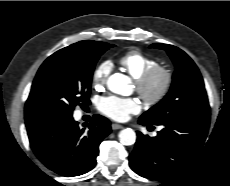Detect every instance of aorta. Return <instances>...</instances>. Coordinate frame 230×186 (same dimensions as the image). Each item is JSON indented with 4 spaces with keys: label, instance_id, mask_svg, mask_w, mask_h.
<instances>
[{
    "label": "aorta",
    "instance_id": "aorta-1",
    "mask_svg": "<svg viewBox=\"0 0 230 186\" xmlns=\"http://www.w3.org/2000/svg\"><path fill=\"white\" fill-rule=\"evenodd\" d=\"M130 79L120 73H115L108 78L107 86L110 91L126 95L129 89ZM119 140L123 145H133L136 141V133L131 128H126L120 131Z\"/></svg>",
    "mask_w": 230,
    "mask_h": 186
}]
</instances>
